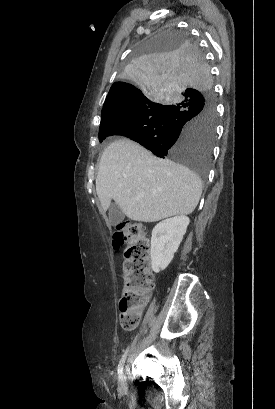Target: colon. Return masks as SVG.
Wrapping results in <instances>:
<instances>
[{
	"mask_svg": "<svg viewBox=\"0 0 275 409\" xmlns=\"http://www.w3.org/2000/svg\"><path fill=\"white\" fill-rule=\"evenodd\" d=\"M112 244L125 249L119 324L122 330H135L153 285L150 272L152 245L143 226L137 222L117 225Z\"/></svg>",
	"mask_w": 275,
	"mask_h": 409,
	"instance_id": "5ec220e1",
	"label": "colon"
}]
</instances>
